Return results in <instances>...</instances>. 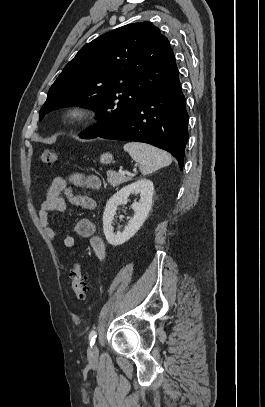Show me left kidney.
Returning <instances> with one entry per match:
<instances>
[{"label":"left kidney","instance_id":"1","mask_svg":"<svg viewBox=\"0 0 265 407\" xmlns=\"http://www.w3.org/2000/svg\"><path fill=\"white\" fill-rule=\"evenodd\" d=\"M154 186L148 179H139L136 182L123 187L114 194L106 204L103 214V232L106 240L113 246H119L128 241L140 229L148 217L152 207ZM131 194H140L139 202L132 204L135 214L125 226L123 232L114 233L112 222L119 205L126 204Z\"/></svg>","mask_w":265,"mask_h":407}]
</instances>
